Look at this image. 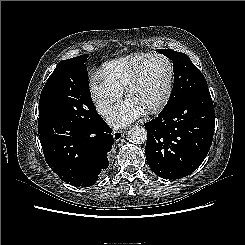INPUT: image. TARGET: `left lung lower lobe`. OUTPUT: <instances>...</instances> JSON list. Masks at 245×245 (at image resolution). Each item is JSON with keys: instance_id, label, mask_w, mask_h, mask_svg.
I'll list each match as a JSON object with an SVG mask.
<instances>
[{"instance_id": "0a47b994", "label": "left lung lower lobe", "mask_w": 245, "mask_h": 245, "mask_svg": "<svg viewBox=\"0 0 245 245\" xmlns=\"http://www.w3.org/2000/svg\"><path fill=\"white\" fill-rule=\"evenodd\" d=\"M144 125L146 159L154 173L170 180L186 177L201 165L212 144L215 114L209 90L188 94Z\"/></svg>"}]
</instances>
